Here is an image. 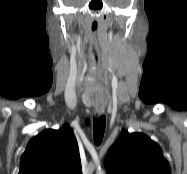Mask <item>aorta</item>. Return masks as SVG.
<instances>
[{
	"label": "aorta",
	"instance_id": "obj_1",
	"mask_svg": "<svg viewBox=\"0 0 187 174\" xmlns=\"http://www.w3.org/2000/svg\"><path fill=\"white\" fill-rule=\"evenodd\" d=\"M97 174H104V173L100 171V172H98Z\"/></svg>",
	"mask_w": 187,
	"mask_h": 174
}]
</instances>
